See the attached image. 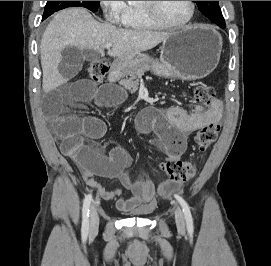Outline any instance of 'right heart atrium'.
Instances as JSON below:
<instances>
[{
  "label": "right heart atrium",
  "instance_id": "1",
  "mask_svg": "<svg viewBox=\"0 0 271 266\" xmlns=\"http://www.w3.org/2000/svg\"><path fill=\"white\" fill-rule=\"evenodd\" d=\"M106 20L113 24L123 22V18L127 9L125 1H100Z\"/></svg>",
  "mask_w": 271,
  "mask_h": 266
}]
</instances>
